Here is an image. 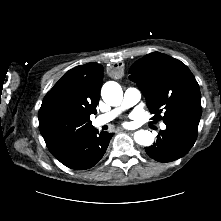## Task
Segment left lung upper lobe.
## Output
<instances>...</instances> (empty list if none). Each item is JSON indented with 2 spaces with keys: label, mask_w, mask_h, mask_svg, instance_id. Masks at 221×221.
Listing matches in <instances>:
<instances>
[{
  "label": "left lung upper lobe",
  "mask_w": 221,
  "mask_h": 221,
  "mask_svg": "<svg viewBox=\"0 0 221 221\" xmlns=\"http://www.w3.org/2000/svg\"><path fill=\"white\" fill-rule=\"evenodd\" d=\"M129 78L137 83L143 94L153 120L201 117L199 85L181 61L153 52L137 60L130 69ZM164 115L161 116L160 114Z\"/></svg>",
  "instance_id": "obj_1"
}]
</instances>
